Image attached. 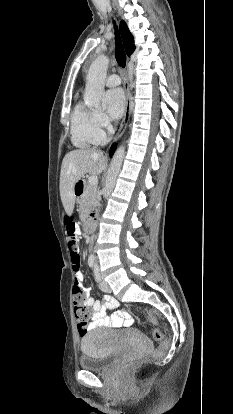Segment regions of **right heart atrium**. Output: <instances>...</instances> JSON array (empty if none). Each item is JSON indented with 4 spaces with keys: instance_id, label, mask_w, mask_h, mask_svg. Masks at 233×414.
<instances>
[{
    "instance_id": "obj_1",
    "label": "right heart atrium",
    "mask_w": 233,
    "mask_h": 414,
    "mask_svg": "<svg viewBox=\"0 0 233 414\" xmlns=\"http://www.w3.org/2000/svg\"><path fill=\"white\" fill-rule=\"evenodd\" d=\"M94 117L99 138L103 141L106 137V132L111 127L110 120L104 113H95Z\"/></svg>"
}]
</instances>
